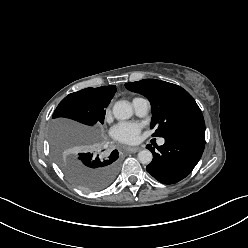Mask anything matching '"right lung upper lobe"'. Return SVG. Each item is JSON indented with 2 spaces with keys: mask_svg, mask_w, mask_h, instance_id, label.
Returning a JSON list of instances; mask_svg holds the SVG:
<instances>
[{
  "mask_svg": "<svg viewBox=\"0 0 248 248\" xmlns=\"http://www.w3.org/2000/svg\"><path fill=\"white\" fill-rule=\"evenodd\" d=\"M93 92L101 93L103 95L114 96L116 92V86H102L98 88H88Z\"/></svg>",
  "mask_w": 248,
  "mask_h": 248,
  "instance_id": "obj_1",
  "label": "right lung upper lobe"
}]
</instances>
